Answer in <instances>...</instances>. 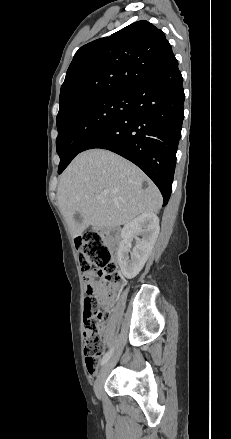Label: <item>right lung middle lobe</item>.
Here are the masks:
<instances>
[{
	"mask_svg": "<svg viewBox=\"0 0 231 439\" xmlns=\"http://www.w3.org/2000/svg\"><path fill=\"white\" fill-rule=\"evenodd\" d=\"M132 94L101 95L83 100L57 115L56 150L61 173L81 148L132 107Z\"/></svg>",
	"mask_w": 231,
	"mask_h": 439,
	"instance_id": "right-lung-middle-lobe-1",
	"label": "right lung middle lobe"
}]
</instances>
